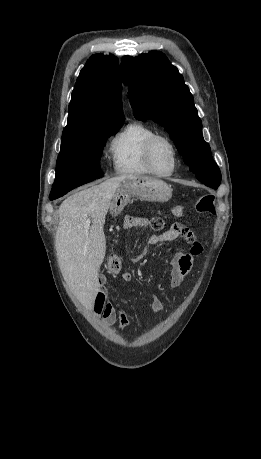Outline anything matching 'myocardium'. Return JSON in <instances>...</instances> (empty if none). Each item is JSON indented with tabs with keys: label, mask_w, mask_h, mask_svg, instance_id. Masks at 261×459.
Segmentation results:
<instances>
[{
	"label": "myocardium",
	"mask_w": 261,
	"mask_h": 459,
	"mask_svg": "<svg viewBox=\"0 0 261 459\" xmlns=\"http://www.w3.org/2000/svg\"><path fill=\"white\" fill-rule=\"evenodd\" d=\"M159 141H163V142L167 143L169 145V147L171 148L172 153H173L174 165H173L172 170L170 172H168V173H160V172H158L155 169L154 164H153L154 147ZM144 157H145V162H146L148 168L150 169L151 173L153 175L157 176V177L165 178V177L172 176L176 172V170L178 168V165H179V153H178V149H177L176 144L174 143V141L170 137H168L166 135H162V134H155L154 136L149 138V140L147 141V143L145 145Z\"/></svg>",
	"instance_id": "f54148a6"
}]
</instances>
